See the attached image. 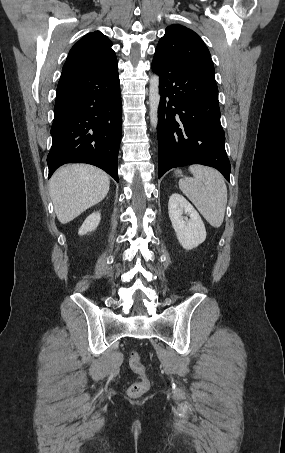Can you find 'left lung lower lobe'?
<instances>
[{
  "instance_id": "left-lung-lower-lobe-1",
  "label": "left lung lower lobe",
  "mask_w": 285,
  "mask_h": 453,
  "mask_svg": "<svg viewBox=\"0 0 285 453\" xmlns=\"http://www.w3.org/2000/svg\"><path fill=\"white\" fill-rule=\"evenodd\" d=\"M151 66L160 76L158 177L171 168L202 164L216 168L229 181L216 81L156 51Z\"/></svg>"
}]
</instances>
